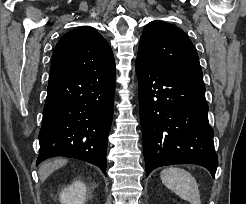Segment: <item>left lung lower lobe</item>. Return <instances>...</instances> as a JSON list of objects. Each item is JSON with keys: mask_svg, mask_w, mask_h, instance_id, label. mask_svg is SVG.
<instances>
[{"mask_svg": "<svg viewBox=\"0 0 246 204\" xmlns=\"http://www.w3.org/2000/svg\"><path fill=\"white\" fill-rule=\"evenodd\" d=\"M146 176L155 168L197 164L214 177L218 157L202 78L136 60Z\"/></svg>", "mask_w": 246, "mask_h": 204, "instance_id": "0a47b994", "label": "left lung lower lobe"}]
</instances>
